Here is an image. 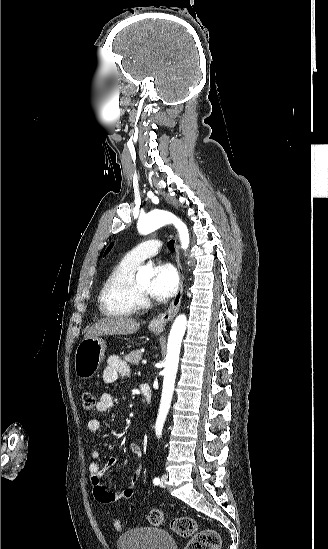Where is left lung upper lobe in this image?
<instances>
[{
    "mask_svg": "<svg viewBox=\"0 0 328 549\" xmlns=\"http://www.w3.org/2000/svg\"><path fill=\"white\" fill-rule=\"evenodd\" d=\"M111 248H112V244L107 248L105 254H107L111 250Z\"/></svg>",
    "mask_w": 328,
    "mask_h": 549,
    "instance_id": "5c2ea615",
    "label": "left lung upper lobe"
}]
</instances>
